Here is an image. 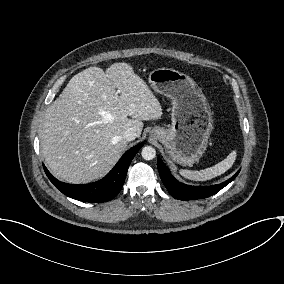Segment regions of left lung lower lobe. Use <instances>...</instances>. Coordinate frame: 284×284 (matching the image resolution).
I'll return each instance as SVG.
<instances>
[{
    "label": "left lung lower lobe",
    "mask_w": 284,
    "mask_h": 284,
    "mask_svg": "<svg viewBox=\"0 0 284 284\" xmlns=\"http://www.w3.org/2000/svg\"><path fill=\"white\" fill-rule=\"evenodd\" d=\"M157 166L161 180L168 192L176 199L179 200H194V199H203L209 196L214 195L231 181H233L240 170L233 175L230 179L226 180L223 183L212 186H190L177 181L170 173L166 165L162 162L160 158L157 159Z\"/></svg>",
    "instance_id": "0a47b994"
}]
</instances>
